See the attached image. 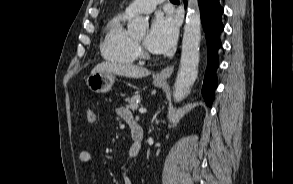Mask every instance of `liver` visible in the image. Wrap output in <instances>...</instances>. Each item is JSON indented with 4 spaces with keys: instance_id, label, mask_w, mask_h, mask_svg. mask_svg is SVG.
<instances>
[{
    "instance_id": "liver-1",
    "label": "liver",
    "mask_w": 293,
    "mask_h": 184,
    "mask_svg": "<svg viewBox=\"0 0 293 184\" xmlns=\"http://www.w3.org/2000/svg\"><path fill=\"white\" fill-rule=\"evenodd\" d=\"M92 72H109L130 78H142L148 76L150 71L145 68L132 65L114 62H102L97 64Z\"/></svg>"
}]
</instances>
